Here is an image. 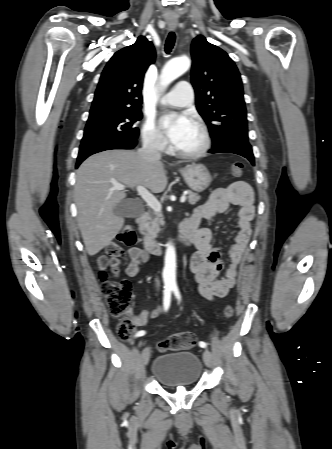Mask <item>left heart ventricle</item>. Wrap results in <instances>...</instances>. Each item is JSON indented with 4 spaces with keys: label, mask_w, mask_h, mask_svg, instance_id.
I'll use <instances>...</instances> for the list:
<instances>
[{
    "label": "left heart ventricle",
    "mask_w": 332,
    "mask_h": 449,
    "mask_svg": "<svg viewBox=\"0 0 332 449\" xmlns=\"http://www.w3.org/2000/svg\"><path fill=\"white\" fill-rule=\"evenodd\" d=\"M201 144V134L198 128L193 125L190 131L185 135L181 143L177 146L181 150H194Z\"/></svg>",
    "instance_id": "left-heart-ventricle-1"
}]
</instances>
